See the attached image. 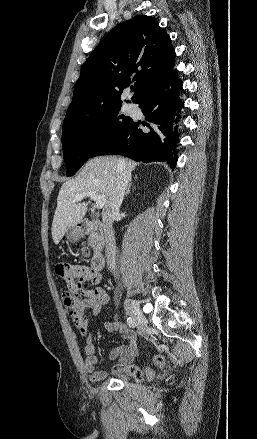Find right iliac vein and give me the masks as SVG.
Returning a JSON list of instances; mask_svg holds the SVG:
<instances>
[{
	"label": "right iliac vein",
	"mask_w": 257,
	"mask_h": 439,
	"mask_svg": "<svg viewBox=\"0 0 257 439\" xmlns=\"http://www.w3.org/2000/svg\"><path fill=\"white\" fill-rule=\"evenodd\" d=\"M124 308L128 315L135 318L140 325V332L143 333L144 328L146 327L147 320L144 314L139 309L138 303L135 300L125 299Z\"/></svg>",
	"instance_id": "1"
}]
</instances>
